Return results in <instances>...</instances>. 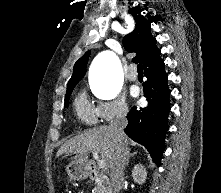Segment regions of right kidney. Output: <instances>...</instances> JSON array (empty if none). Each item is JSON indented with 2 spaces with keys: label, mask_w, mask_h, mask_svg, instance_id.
Here are the masks:
<instances>
[{
  "label": "right kidney",
  "mask_w": 221,
  "mask_h": 193,
  "mask_svg": "<svg viewBox=\"0 0 221 193\" xmlns=\"http://www.w3.org/2000/svg\"><path fill=\"white\" fill-rule=\"evenodd\" d=\"M132 177L138 184H143L147 178V172L142 164H137L132 170Z\"/></svg>",
  "instance_id": "right-kidney-1"
}]
</instances>
